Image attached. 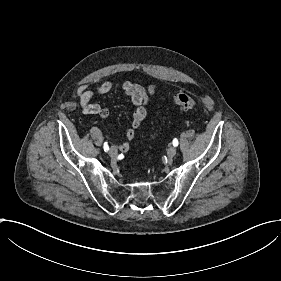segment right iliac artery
Wrapping results in <instances>:
<instances>
[{"instance_id": "right-iliac-artery-1", "label": "right iliac artery", "mask_w": 281, "mask_h": 281, "mask_svg": "<svg viewBox=\"0 0 281 281\" xmlns=\"http://www.w3.org/2000/svg\"><path fill=\"white\" fill-rule=\"evenodd\" d=\"M109 150V146L107 145V142L104 143V151H108Z\"/></svg>"}]
</instances>
